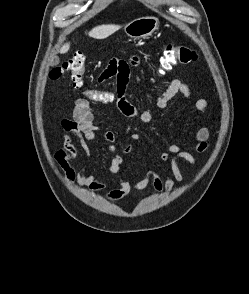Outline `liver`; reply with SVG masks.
<instances>
[{
	"label": "liver",
	"instance_id": "obj_1",
	"mask_svg": "<svg viewBox=\"0 0 249 294\" xmlns=\"http://www.w3.org/2000/svg\"><path fill=\"white\" fill-rule=\"evenodd\" d=\"M119 27H120L119 25H100L93 28L88 33V35L96 39H103L113 34L116 30L119 29ZM69 48H70V44L66 43L60 49V53H66L69 50Z\"/></svg>",
	"mask_w": 249,
	"mask_h": 294
}]
</instances>
